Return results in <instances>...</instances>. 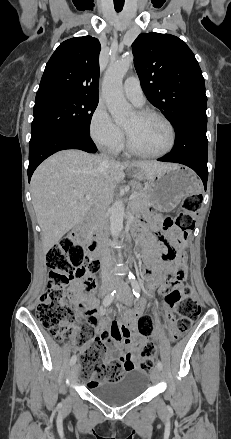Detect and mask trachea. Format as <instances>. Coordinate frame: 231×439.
Segmentation results:
<instances>
[{
    "instance_id": "1",
    "label": "trachea",
    "mask_w": 231,
    "mask_h": 439,
    "mask_svg": "<svg viewBox=\"0 0 231 439\" xmlns=\"http://www.w3.org/2000/svg\"><path fill=\"white\" fill-rule=\"evenodd\" d=\"M123 6H124V2H122V3L114 2L115 10H116V12H118V13L122 11Z\"/></svg>"
}]
</instances>
